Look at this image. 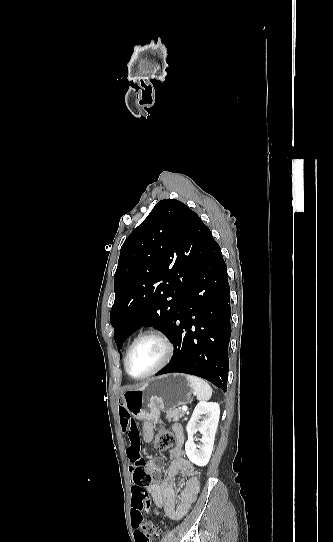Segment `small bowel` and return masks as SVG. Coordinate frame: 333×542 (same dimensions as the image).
<instances>
[{"instance_id":"1","label":"small bowel","mask_w":333,"mask_h":542,"mask_svg":"<svg viewBox=\"0 0 333 542\" xmlns=\"http://www.w3.org/2000/svg\"><path fill=\"white\" fill-rule=\"evenodd\" d=\"M119 416L121 419V430L126 435L124 442L128 444L127 454L134 464L135 460L142 457L140 451L141 438L138 435L137 426L132 416L129 415L125 407L119 408ZM176 444L171 450L172 460L168 468L165 479L161 482H154L147 487L155 504L164 510L167 517L173 520L181 519L197 500L200 492V471L196 469L191 461L183 455L184 433L180 425L173 426ZM154 438V427L150 421H145L143 426V439L150 443ZM151 469L156 473H160V468L155 464H151ZM182 473L185 477L181 478L178 485L174 483V477L178 473ZM181 490L180 498L177 501V491ZM138 512L135 504L131 511L132 530L141 529V522L137 521Z\"/></svg>"}]
</instances>
